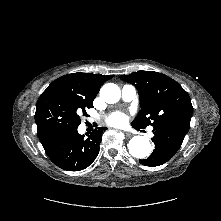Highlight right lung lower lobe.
Wrapping results in <instances>:
<instances>
[{
    "mask_svg": "<svg viewBox=\"0 0 221 221\" xmlns=\"http://www.w3.org/2000/svg\"><path fill=\"white\" fill-rule=\"evenodd\" d=\"M96 128L87 139L77 128L52 133L40 139L50 160L58 167L68 171H80L90 166L99 153L102 131Z\"/></svg>",
    "mask_w": 221,
    "mask_h": 221,
    "instance_id": "right-lung-lower-lobe-1",
    "label": "right lung lower lobe"
}]
</instances>
